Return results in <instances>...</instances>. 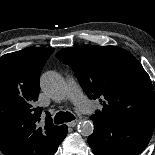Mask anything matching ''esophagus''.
Masks as SVG:
<instances>
[{
    "instance_id": "1",
    "label": "esophagus",
    "mask_w": 155,
    "mask_h": 155,
    "mask_svg": "<svg viewBox=\"0 0 155 155\" xmlns=\"http://www.w3.org/2000/svg\"><path fill=\"white\" fill-rule=\"evenodd\" d=\"M78 122H79L78 120H73V121L67 123V126L68 127H75L78 124Z\"/></svg>"
}]
</instances>
